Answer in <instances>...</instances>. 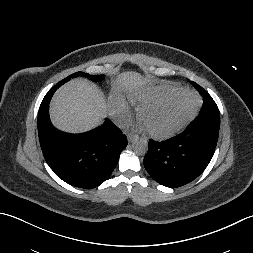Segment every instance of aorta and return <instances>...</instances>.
<instances>
[{"label": "aorta", "instance_id": "1", "mask_svg": "<svg viewBox=\"0 0 253 253\" xmlns=\"http://www.w3.org/2000/svg\"><path fill=\"white\" fill-rule=\"evenodd\" d=\"M133 150L139 156H144L148 150V143L145 139H137L133 143Z\"/></svg>", "mask_w": 253, "mask_h": 253}]
</instances>
